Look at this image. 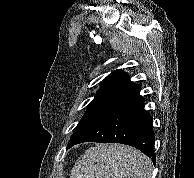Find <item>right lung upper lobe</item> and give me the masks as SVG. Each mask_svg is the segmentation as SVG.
<instances>
[{"mask_svg":"<svg viewBox=\"0 0 194 178\" xmlns=\"http://www.w3.org/2000/svg\"><path fill=\"white\" fill-rule=\"evenodd\" d=\"M100 86L94 100L116 101L126 104L141 98L140 87L131 82L129 75L121 70L109 74Z\"/></svg>","mask_w":194,"mask_h":178,"instance_id":"1","label":"right lung upper lobe"}]
</instances>
